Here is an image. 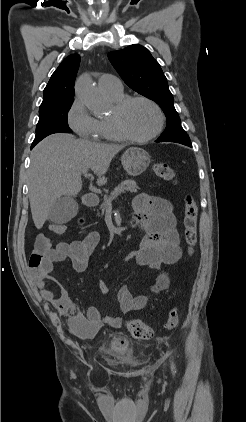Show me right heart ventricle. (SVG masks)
Segmentation results:
<instances>
[{
    "instance_id": "e07e8e85",
    "label": "right heart ventricle",
    "mask_w": 246,
    "mask_h": 422,
    "mask_svg": "<svg viewBox=\"0 0 246 422\" xmlns=\"http://www.w3.org/2000/svg\"><path fill=\"white\" fill-rule=\"evenodd\" d=\"M105 95L114 103L124 97L123 92L117 94L105 93ZM99 124L101 130V139L112 142H120L124 140L114 127L110 117L100 119Z\"/></svg>"
}]
</instances>
